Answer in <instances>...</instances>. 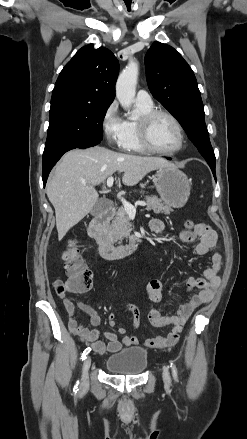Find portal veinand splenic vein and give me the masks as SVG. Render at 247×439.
<instances>
[{
  "label": "portal vein and splenic vein",
  "instance_id": "obj_1",
  "mask_svg": "<svg viewBox=\"0 0 247 439\" xmlns=\"http://www.w3.org/2000/svg\"><path fill=\"white\" fill-rule=\"evenodd\" d=\"M113 182H114V177H113V176L108 177V179H107V186H108V187H112V186H113ZM84 185H86V184H84ZM120 199H121V202H122V204H123V206H124L125 211H126L127 214L130 215V216H135V214H136V207H137L138 205H139V206H146V205H147V203H145V202H143V201H138V202H136L135 205L133 206V205L130 204L128 201H126L124 198L121 197Z\"/></svg>",
  "mask_w": 247,
  "mask_h": 439
}]
</instances>
